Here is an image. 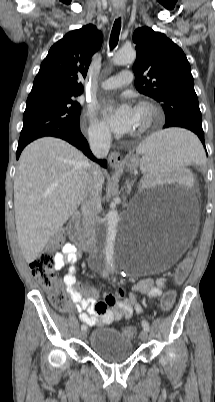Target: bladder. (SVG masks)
Here are the masks:
<instances>
[{"mask_svg":"<svg viewBox=\"0 0 215 402\" xmlns=\"http://www.w3.org/2000/svg\"><path fill=\"white\" fill-rule=\"evenodd\" d=\"M89 347L94 355L108 362L126 360L134 353L132 340L118 330L108 327H99L92 331Z\"/></svg>","mask_w":215,"mask_h":402,"instance_id":"obj_1","label":"bladder"}]
</instances>
